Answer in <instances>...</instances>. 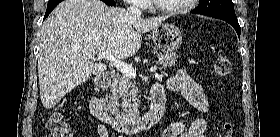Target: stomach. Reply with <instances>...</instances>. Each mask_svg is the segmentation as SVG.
<instances>
[{"label": "stomach", "instance_id": "0dacf381", "mask_svg": "<svg viewBox=\"0 0 280 137\" xmlns=\"http://www.w3.org/2000/svg\"><path fill=\"white\" fill-rule=\"evenodd\" d=\"M151 39L155 47L164 53H171L182 44L181 31L175 25L169 23H161L154 28Z\"/></svg>", "mask_w": 280, "mask_h": 137}]
</instances>
